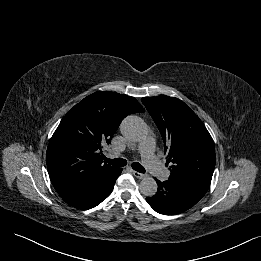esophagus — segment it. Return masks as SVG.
<instances>
[{
	"instance_id": "34e87169",
	"label": "esophagus",
	"mask_w": 261,
	"mask_h": 261,
	"mask_svg": "<svg viewBox=\"0 0 261 261\" xmlns=\"http://www.w3.org/2000/svg\"><path fill=\"white\" fill-rule=\"evenodd\" d=\"M133 175L136 177V178H139V179H142L144 178L146 175L145 174H142V173H139L137 171H132Z\"/></svg>"
}]
</instances>
